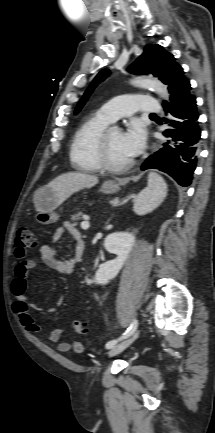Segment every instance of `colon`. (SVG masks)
<instances>
[{"instance_id":"5ec220e1","label":"colon","mask_w":215,"mask_h":433,"mask_svg":"<svg viewBox=\"0 0 215 433\" xmlns=\"http://www.w3.org/2000/svg\"><path fill=\"white\" fill-rule=\"evenodd\" d=\"M36 246V237L31 228L26 226L18 227L15 235L16 256L24 258L26 250ZM73 328L78 334L88 332V323L86 321L75 319Z\"/></svg>"}]
</instances>
